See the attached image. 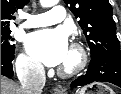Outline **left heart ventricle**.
<instances>
[{
	"mask_svg": "<svg viewBox=\"0 0 121 94\" xmlns=\"http://www.w3.org/2000/svg\"><path fill=\"white\" fill-rule=\"evenodd\" d=\"M76 61V56L74 54V52L69 49V52L65 58V60L62 62V64L60 65L61 67H70L72 66Z\"/></svg>",
	"mask_w": 121,
	"mask_h": 94,
	"instance_id": "1",
	"label": "left heart ventricle"
}]
</instances>
